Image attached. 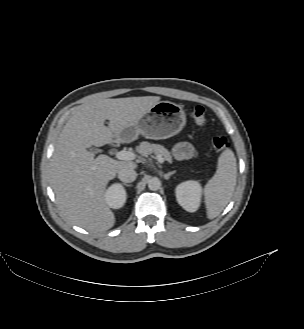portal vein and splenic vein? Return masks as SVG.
<instances>
[{
    "label": "portal vein and splenic vein",
    "instance_id": "18ae733b",
    "mask_svg": "<svg viewBox=\"0 0 304 329\" xmlns=\"http://www.w3.org/2000/svg\"><path fill=\"white\" fill-rule=\"evenodd\" d=\"M116 158H118L119 160L132 161L136 158V154L131 151L122 150L116 153ZM156 159L159 163L164 162L163 157L159 154L156 156Z\"/></svg>",
    "mask_w": 304,
    "mask_h": 329
}]
</instances>
